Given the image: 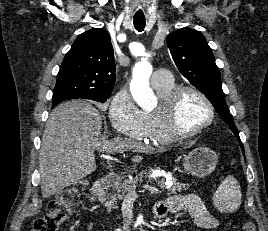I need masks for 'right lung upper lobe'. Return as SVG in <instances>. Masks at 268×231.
Here are the masks:
<instances>
[{"instance_id": "cb5924a9", "label": "right lung upper lobe", "mask_w": 268, "mask_h": 231, "mask_svg": "<svg viewBox=\"0 0 268 231\" xmlns=\"http://www.w3.org/2000/svg\"><path fill=\"white\" fill-rule=\"evenodd\" d=\"M115 83L114 51L108 32L90 29L79 35L66 54L57 75L55 90L61 99H92L110 96Z\"/></svg>"}]
</instances>
